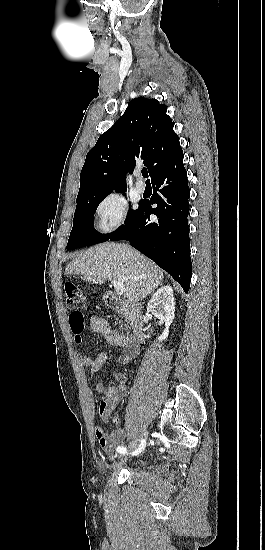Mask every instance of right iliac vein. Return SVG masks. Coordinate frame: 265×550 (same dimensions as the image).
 <instances>
[{
    "instance_id": "right-iliac-vein-1",
    "label": "right iliac vein",
    "mask_w": 265,
    "mask_h": 550,
    "mask_svg": "<svg viewBox=\"0 0 265 550\" xmlns=\"http://www.w3.org/2000/svg\"><path fill=\"white\" fill-rule=\"evenodd\" d=\"M147 434H148V432H147L146 430H144L143 433H142V436H143V439H144V440L147 438ZM127 457H128L127 455L121 454V455L119 456V460H120V461H125V460L127 459Z\"/></svg>"
}]
</instances>
